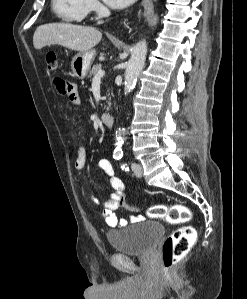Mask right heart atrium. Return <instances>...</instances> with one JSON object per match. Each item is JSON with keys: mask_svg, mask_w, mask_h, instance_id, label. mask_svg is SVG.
<instances>
[{"mask_svg": "<svg viewBox=\"0 0 247 299\" xmlns=\"http://www.w3.org/2000/svg\"><path fill=\"white\" fill-rule=\"evenodd\" d=\"M99 8V3L97 0H89V10L94 11Z\"/></svg>", "mask_w": 247, "mask_h": 299, "instance_id": "d8ad5b80", "label": "right heart atrium"}]
</instances>
